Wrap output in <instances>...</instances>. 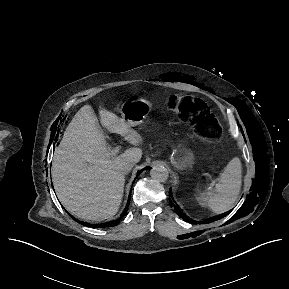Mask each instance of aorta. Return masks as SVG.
Masks as SVG:
<instances>
[{"label":"aorta","instance_id":"aorta-1","mask_svg":"<svg viewBox=\"0 0 289 289\" xmlns=\"http://www.w3.org/2000/svg\"><path fill=\"white\" fill-rule=\"evenodd\" d=\"M150 176L154 181L165 182L169 177V172L166 167L157 165L151 169Z\"/></svg>","mask_w":289,"mask_h":289}]
</instances>
